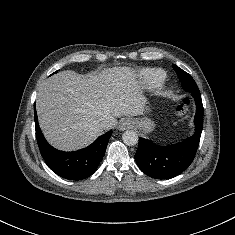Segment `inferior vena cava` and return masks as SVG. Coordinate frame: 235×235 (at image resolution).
I'll list each match as a JSON object with an SVG mask.
<instances>
[{"mask_svg": "<svg viewBox=\"0 0 235 235\" xmlns=\"http://www.w3.org/2000/svg\"><path fill=\"white\" fill-rule=\"evenodd\" d=\"M99 126L101 128H107L109 126V123L107 120H102L100 123H99Z\"/></svg>", "mask_w": 235, "mask_h": 235, "instance_id": "1", "label": "inferior vena cava"}]
</instances>
